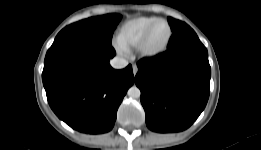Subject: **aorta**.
I'll list each match as a JSON object with an SVG mask.
<instances>
[{
    "label": "aorta",
    "instance_id": "762f6f07",
    "mask_svg": "<svg viewBox=\"0 0 261 150\" xmlns=\"http://www.w3.org/2000/svg\"><path fill=\"white\" fill-rule=\"evenodd\" d=\"M127 94L130 98H139L141 95V92L138 87L132 86L131 88H129Z\"/></svg>",
    "mask_w": 261,
    "mask_h": 150
}]
</instances>
